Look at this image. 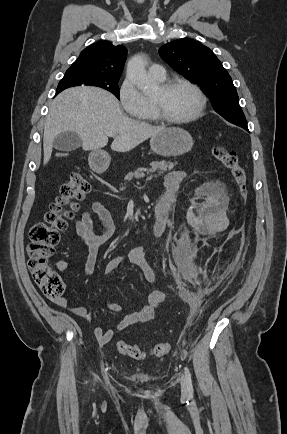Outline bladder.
I'll return each instance as SVG.
<instances>
[{"instance_id": "bladder-1", "label": "bladder", "mask_w": 287, "mask_h": 434, "mask_svg": "<svg viewBox=\"0 0 287 434\" xmlns=\"http://www.w3.org/2000/svg\"><path fill=\"white\" fill-rule=\"evenodd\" d=\"M130 379L139 383V384H148L152 381V378L148 375L142 373H134L130 375Z\"/></svg>"}]
</instances>
